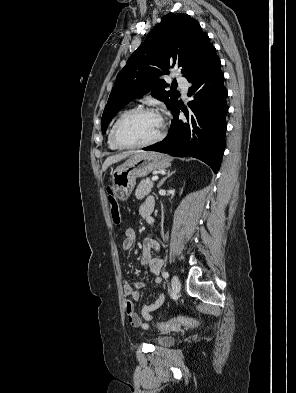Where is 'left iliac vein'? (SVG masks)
I'll list each match as a JSON object with an SVG mask.
<instances>
[{"label":"left iliac vein","mask_w":296,"mask_h":393,"mask_svg":"<svg viewBox=\"0 0 296 393\" xmlns=\"http://www.w3.org/2000/svg\"><path fill=\"white\" fill-rule=\"evenodd\" d=\"M171 289L174 295H178L181 289V283L179 278L174 275L171 279Z\"/></svg>","instance_id":"left-iliac-vein-1"}]
</instances>
